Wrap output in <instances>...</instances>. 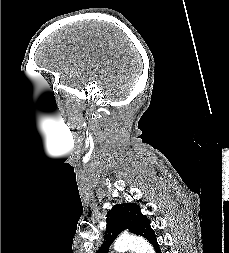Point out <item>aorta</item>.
<instances>
[{"label": "aorta", "mask_w": 229, "mask_h": 253, "mask_svg": "<svg viewBox=\"0 0 229 253\" xmlns=\"http://www.w3.org/2000/svg\"><path fill=\"white\" fill-rule=\"evenodd\" d=\"M114 249L119 253L127 250L135 253H155L153 247L145 239L136 236L119 238L114 244Z\"/></svg>", "instance_id": "aorta-1"}]
</instances>
